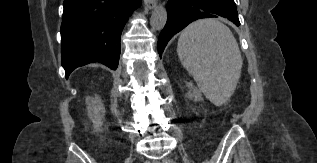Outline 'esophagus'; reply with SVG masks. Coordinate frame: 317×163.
Wrapping results in <instances>:
<instances>
[{
	"label": "esophagus",
	"instance_id": "esophagus-1",
	"mask_svg": "<svg viewBox=\"0 0 317 163\" xmlns=\"http://www.w3.org/2000/svg\"><path fill=\"white\" fill-rule=\"evenodd\" d=\"M144 3L148 9H153L156 7V0H144Z\"/></svg>",
	"mask_w": 317,
	"mask_h": 163
}]
</instances>
